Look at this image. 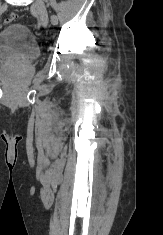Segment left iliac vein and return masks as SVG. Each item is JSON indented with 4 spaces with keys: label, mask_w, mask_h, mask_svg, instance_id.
<instances>
[{
    "label": "left iliac vein",
    "mask_w": 163,
    "mask_h": 235,
    "mask_svg": "<svg viewBox=\"0 0 163 235\" xmlns=\"http://www.w3.org/2000/svg\"><path fill=\"white\" fill-rule=\"evenodd\" d=\"M34 7L37 10L41 24L44 27H47L49 23V17L44 2L42 0H35Z\"/></svg>",
    "instance_id": "4c4485c4"
}]
</instances>
